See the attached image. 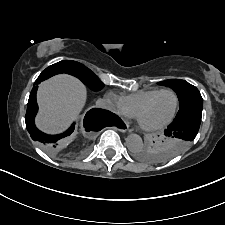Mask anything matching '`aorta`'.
<instances>
[{"mask_svg":"<svg viewBox=\"0 0 225 225\" xmlns=\"http://www.w3.org/2000/svg\"><path fill=\"white\" fill-rule=\"evenodd\" d=\"M127 147L132 152H138L143 147L142 138L137 134H131L126 139Z\"/></svg>","mask_w":225,"mask_h":225,"instance_id":"1","label":"aorta"}]
</instances>
